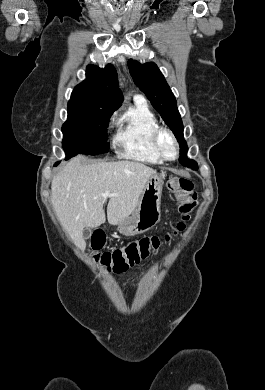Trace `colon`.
I'll return each mask as SVG.
<instances>
[{
    "label": "colon",
    "mask_w": 265,
    "mask_h": 390,
    "mask_svg": "<svg viewBox=\"0 0 265 390\" xmlns=\"http://www.w3.org/2000/svg\"><path fill=\"white\" fill-rule=\"evenodd\" d=\"M168 189L179 201L181 220L171 233L164 236H148L137 241L130 242L124 247L110 251H103L106 238L103 232L95 231L90 240V249L93 258L108 272L123 273L155 254L162 243L167 242L172 236L182 232L190 214L196 207L197 193L193 182L184 177L173 176L168 179Z\"/></svg>",
    "instance_id": "5ec220e1"
}]
</instances>
